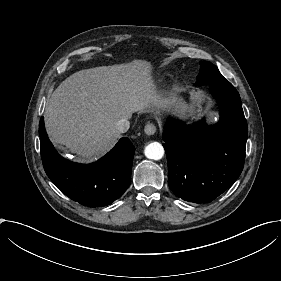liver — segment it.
Masks as SVG:
<instances>
[{"label": "liver", "mask_w": 281, "mask_h": 281, "mask_svg": "<svg viewBox=\"0 0 281 281\" xmlns=\"http://www.w3.org/2000/svg\"><path fill=\"white\" fill-rule=\"evenodd\" d=\"M155 66L146 59L79 70L53 91L44 125L53 145H63L82 161L105 156L121 133L115 123L133 112L165 118L188 101L157 86Z\"/></svg>", "instance_id": "liver-1"}]
</instances>
